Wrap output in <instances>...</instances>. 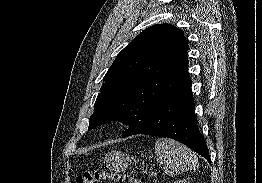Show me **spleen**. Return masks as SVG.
Segmentation results:
<instances>
[{
    "label": "spleen",
    "instance_id": "1",
    "mask_svg": "<svg viewBox=\"0 0 262 183\" xmlns=\"http://www.w3.org/2000/svg\"><path fill=\"white\" fill-rule=\"evenodd\" d=\"M157 161L164 166L169 176H174L198 167L194 152L186 146L169 138H160L155 142Z\"/></svg>",
    "mask_w": 262,
    "mask_h": 183
}]
</instances>
